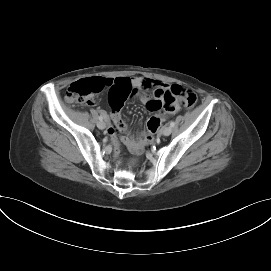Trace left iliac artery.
<instances>
[{
  "instance_id": "44dca946",
  "label": "left iliac artery",
  "mask_w": 271,
  "mask_h": 271,
  "mask_svg": "<svg viewBox=\"0 0 271 271\" xmlns=\"http://www.w3.org/2000/svg\"><path fill=\"white\" fill-rule=\"evenodd\" d=\"M175 126V122L174 121H171L170 122V127H174Z\"/></svg>"
}]
</instances>
